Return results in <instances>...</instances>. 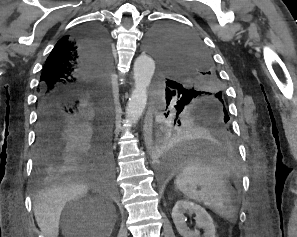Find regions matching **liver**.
I'll list each match as a JSON object with an SVG mask.
<instances>
[{"label":"liver","mask_w":297,"mask_h":237,"mask_svg":"<svg viewBox=\"0 0 297 237\" xmlns=\"http://www.w3.org/2000/svg\"><path fill=\"white\" fill-rule=\"evenodd\" d=\"M41 190L34 200L35 219L44 237H58L62 210L70 200L83 196L88 191L86 175L74 174Z\"/></svg>","instance_id":"6515ba94"}]
</instances>
